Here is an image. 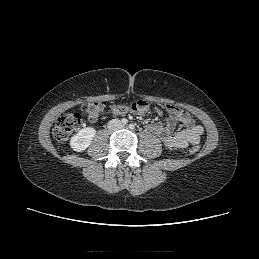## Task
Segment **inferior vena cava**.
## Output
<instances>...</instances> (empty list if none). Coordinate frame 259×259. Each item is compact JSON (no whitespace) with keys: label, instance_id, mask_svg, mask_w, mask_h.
Listing matches in <instances>:
<instances>
[{"label":"inferior vena cava","instance_id":"inferior-vena-cava-1","mask_svg":"<svg viewBox=\"0 0 259 259\" xmlns=\"http://www.w3.org/2000/svg\"><path fill=\"white\" fill-rule=\"evenodd\" d=\"M122 124L119 120H112L109 122V129L121 128Z\"/></svg>","mask_w":259,"mask_h":259}]
</instances>
